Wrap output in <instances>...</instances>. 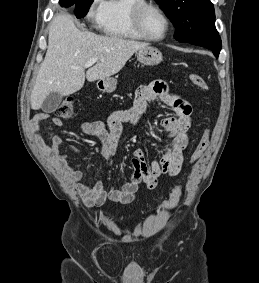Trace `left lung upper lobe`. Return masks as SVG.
<instances>
[{"instance_id":"obj_1","label":"left lung upper lobe","mask_w":259,"mask_h":283,"mask_svg":"<svg viewBox=\"0 0 259 283\" xmlns=\"http://www.w3.org/2000/svg\"><path fill=\"white\" fill-rule=\"evenodd\" d=\"M176 28L182 43L215 39V12L210 0H155Z\"/></svg>"}]
</instances>
